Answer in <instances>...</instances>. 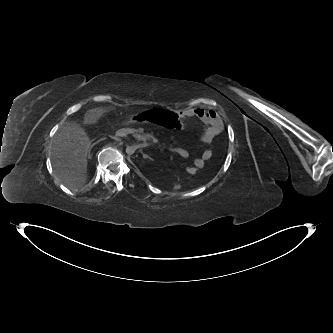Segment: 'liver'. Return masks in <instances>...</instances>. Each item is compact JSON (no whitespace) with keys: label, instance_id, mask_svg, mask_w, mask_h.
Masks as SVG:
<instances>
[{"label":"liver","instance_id":"6515ba94","mask_svg":"<svg viewBox=\"0 0 333 333\" xmlns=\"http://www.w3.org/2000/svg\"><path fill=\"white\" fill-rule=\"evenodd\" d=\"M113 106L96 107L84 114V125L96 124ZM91 140L85 129L76 122L66 123L54 136L51 148L55 175L67 187L80 188L87 182V153Z\"/></svg>","mask_w":333,"mask_h":333}]
</instances>
